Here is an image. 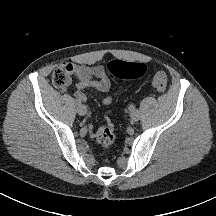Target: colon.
Returning <instances> with one entry per match:
<instances>
[{
	"mask_svg": "<svg viewBox=\"0 0 216 216\" xmlns=\"http://www.w3.org/2000/svg\"><path fill=\"white\" fill-rule=\"evenodd\" d=\"M145 65L142 63H131L122 60H113L107 66V78L116 79H135L145 73ZM70 68L62 65L56 68L52 73V83L58 88H66L70 83ZM154 88L163 93L167 87V77L163 71H157L152 80ZM117 138L116 130L113 125L106 120L97 130L95 140L102 147H110Z\"/></svg>",
	"mask_w": 216,
	"mask_h": 216,
	"instance_id": "colon-1",
	"label": "colon"
}]
</instances>
